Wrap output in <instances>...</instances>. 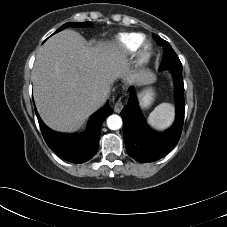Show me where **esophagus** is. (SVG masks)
I'll return each instance as SVG.
<instances>
[{"instance_id": "esophagus-1", "label": "esophagus", "mask_w": 227, "mask_h": 227, "mask_svg": "<svg viewBox=\"0 0 227 227\" xmlns=\"http://www.w3.org/2000/svg\"><path fill=\"white\" fill-rule=\"evenodd\" d=\"M122 109H123V103H122V101L119 99V100L114 104V111H115L116 113H120Z\"/></svg>"}]
</instances>
